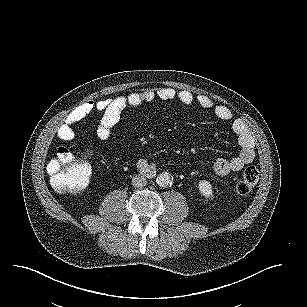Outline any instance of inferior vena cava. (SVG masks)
Instances as JSON below:
<instances>
[{
	"mask_svg": "<svg viewBox=\"0 0 307 307\" xmlns=\"http://www.w3.org/2000/svg\"><path fill=\"white\" fill-rule=\"evenodd\" d=\"M131 184L135 188H142L146 186L147 179L140 174H135L131 179Z\"/></svg>",
	"mask_w": 307,
	"mask_h": 307,
	"instance_id": "1",
	"label": "inferior vena cava"
}]
</instances>
